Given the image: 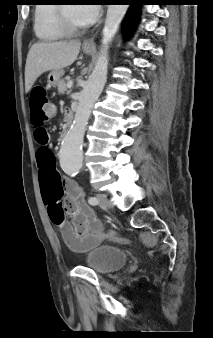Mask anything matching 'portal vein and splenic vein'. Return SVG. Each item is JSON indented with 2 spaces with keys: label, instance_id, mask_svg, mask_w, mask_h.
<instances>
[{
  "label": "portal vein and splenic vein",
  "instance_id": "portal-vein-and-splenic-vein-1",
  "mask_svg": "<svg viewBox=\"0 0 213 338\" xmlns=\"http://www.w3.org/2000/svg\"><path fill=\"white\" fill-rule=\"evenodd\" d=\"M73 86V81L72 80H69L68 83H67V87L68 88H71Z\"/></svg>",
  "mask_w": 213,
  "mask_h": 338
}]
</instances>
